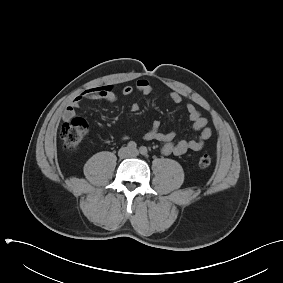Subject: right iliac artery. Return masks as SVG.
<instances>
[{
    "instance_id": "right-iliac-artery-1",
    "label": "right iliac artery",
    "mask_w": 283,
    "mask_h": 283,
    "mask_svg": "<svg viewBox=\"0 0 283 283\" xmlns=\"http://www.w3.org/2000/svg\"><path fill=\"white\" fill-rule=\"evenodd\" d=\"M127 147L130 149V150H135L137 148V144L134 142V141H130L128 144H127Z\"/></svg>"
}]
</instances>
